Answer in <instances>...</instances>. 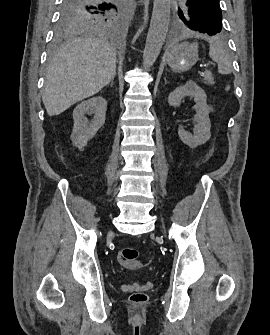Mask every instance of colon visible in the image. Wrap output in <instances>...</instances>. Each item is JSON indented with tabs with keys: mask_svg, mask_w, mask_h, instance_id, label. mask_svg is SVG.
<instances>
[{
	"mask_svg": "<svg viewBox=\"0 0 270 335\" xmlns=\"http://www.w3.org/2000/svg\"><path fill=\"white\" fill-rule=\"evenodd\" d=\"M138 255L139 252L136 248H122L119 253V262L122 266H138ZM147 296L143 293H133L131 295V300L135 304H144L146 302Z\"/></svg>",
	"mask_w": 270,
	"mask_h": 335,
	"instance_id": "obj_1",
	"label": "colon"
}]
</instances>
